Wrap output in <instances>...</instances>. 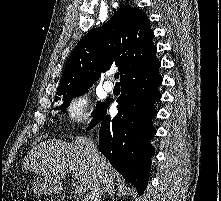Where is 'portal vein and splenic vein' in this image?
<instances>
[{
  "mask_svg": "<svg viewBox=\"0 0 221 201\" xmlns=\"http://www.w3.org/2000/svg\"><path fill=\"white\" fill-rule=\"evenodd\" d=\"M85 190L84 187L81 184H77L75 186V194L78 196H82L84 194Z\"/></svg>",
  "mask_w": 221,
  "mask_h": 201,
  "instance_id": "obj_1",
  "label": "portal vein and splenic vein"
}]
</instances>
